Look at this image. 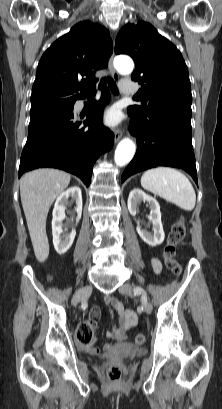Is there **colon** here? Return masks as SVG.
I'll return each mask as SVG.
<instances>
[{
	"instance_id": "colon-1",
	"label": "colon",
	"mask_w": 222,
	"mask_h": 409,
	"mask_svg": "<svg viewBox=\"0 0 222 409\" xmlns=\"http://www.w3.org/2000/svg\"><path fill=\"white\" fill-rule=\"evenodd\" d=\"M186 233V224L183 219L176 222L167 239V243L164 247L163 257L167 268L175 275H180L181 266L175 259V248L184 239ZM76 337L81 344H90L94 338V329L90 322L87 320L79 324L76 330ZM145 341V337L142 334L135 336V342L142 344ZM108 378L111 382L117 383L122 380L121 367L117 364L111 365L107 370Z\"/></svg>"
}]
</instances>
